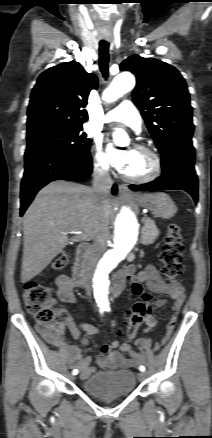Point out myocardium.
Returning a JSON list of instances; mask_svg holds the SVG:
<instances>
[{
    "label": "myocardium",
    "mask_w": 212,
    "mask_h": 438,
    "mask_svg": "<svg viewBox=\"0 0 212 438\" xmlns=\"http://www.w3.org/2000/svg\"><path fill=\"white\" fill-rule=\"evenodd\" d=\"M136 149L140 150L142 152H145L146 154H148L151 157L152 163H153L152 171L148 175L141 177V178L130 177L122 172L121 173L122 178L125 181L130 182V183H134V184H146V183H149V182L156 180L161 175L162 168H163L162 160H161L160 156L154 150H152L151 148H149L145 145H142V144H138L136 146Z\"/></svg>",
    "instance_id": "obj_1"
}]
</instances>
